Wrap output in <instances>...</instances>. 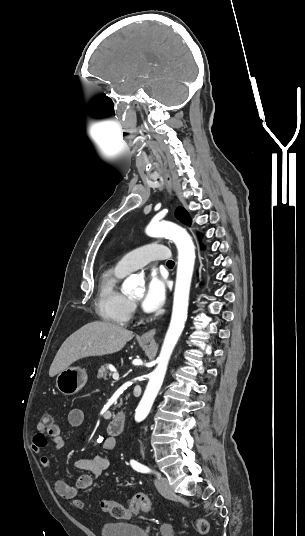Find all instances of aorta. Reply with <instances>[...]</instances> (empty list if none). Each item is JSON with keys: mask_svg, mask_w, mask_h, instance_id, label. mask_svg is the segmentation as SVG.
I'll list each match as a JSON object with an SVG mask.
<instances>
[{"mask_svg": "<svg viewBox=\"0 0 305 536\" xmlns=\"http://www.w3.org/2000/svg\"><path fill=\"white\" fill-rule=\"evenodd\" d=\"M146 234L151 237H166L172 240L178 250V265L170 325L157 358V367L151 373L146 390L136 409L135 420L137 422L144 420L149 414L162 386L171 354L184 329L196 257L191 236L177 224L166 221L152 222L147 226ZM143 283L138 276L131 275L124 281L123 291L128 294L141 295Z\"/></svg>", "mask_w": 305, "mask_h": 536, "instance_id": "1", "label": "aorta"}]
</instances>
